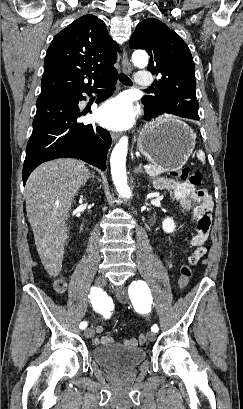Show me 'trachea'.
I'll return each mask as SVG.
<instances>
[{"mask_svg":"<svg viewBox=\"0 0 243 409\" xmlns=\"http://www.w3.org/2000/svg\"><path fill=\"white\" fill-rule=\"evenodd\" d=\"M119 80L122 84L127 85V86H131L132 85V81L131 79L126 76L125 74H120Z\"/></svg>","mask_w":243,"mask_h":409,"instance_id":"3493384b","label":"trachea"}]
</instances>
